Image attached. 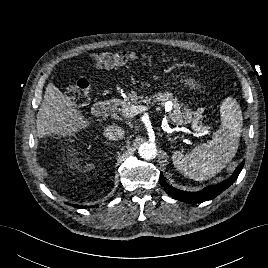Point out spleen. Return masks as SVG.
<instances>
[{
	"label": "spleen",
	"mask_w": 268,
	"mask_h": 268,
	"mask_svg": "<svg viewBox=\"0 0 268 268\" xmlns=\"http://www.w3.org/2000/svg\"><path fill=\"white\" fill-rule=\"evenodd\" d=\"M221 125L207 143L184 155L173 152V163L184 176L196 181L207 180L219 173L235 156L242 128V111L232 97L220 105Z\"/></svg>",
	"instance_id": "3e777b00"
}]
</instances>
